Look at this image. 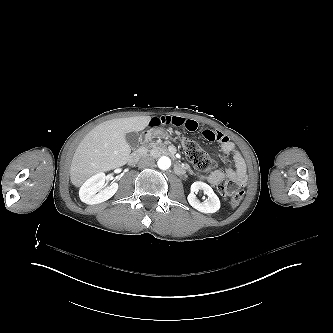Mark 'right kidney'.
I'll list each match as a JSON object with an SVG mask.
<instances>
[{
    "mask_svg": "<svg viewBox=\"0 0 333 333\" xmlns=\"http://www.w3.org/2000/svg\"><path fill=\"white\" fill-rule=\"evenodd\" d=\"M106 175L100 172L87 179L79 190V197L82 202L93 205L110 199L118 190L117 183H111L104 188Z\"/></svg>",
    "mask_w": 333,
    "mask_h": 333,
    "instance_id": "obj_1",
    "label": "right kidney"
}]
</instances>
